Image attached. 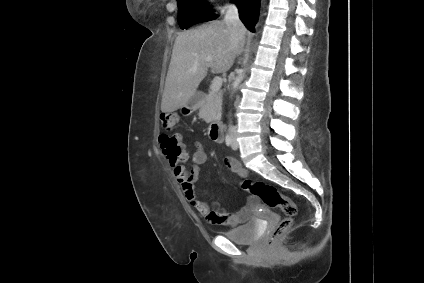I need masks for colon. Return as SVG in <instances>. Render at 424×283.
<instances>
[{"instance_id": "obj_1", "label": "colon", "mask_w": 424, "mask_h": 283, "mask_svg": "<svg viewBox=\"0 0 424 283\" xmlns=\"http://www.w3.org/2000/svg\"><path fill=\"white\" fill-rule=\"evenodd\" d=\"M178 120L179 116L176 113H163L160 116L161 125L167 131L172 130ZM159 143L163 154L172 167H176L185 161L186 153L179 135L162 133L159 136ZM239 185L245 192L260 199L266 206L279 207L284 213L285 218L266 233L267 243L274 246L292 226L298 212L296 204L291 198L280 193L276 187L265 182L244 179L239 182ZM216 215L223 218L220 214Z\"/></svg>"}]
</instances>
